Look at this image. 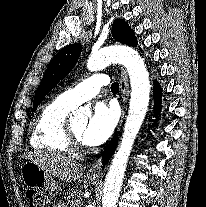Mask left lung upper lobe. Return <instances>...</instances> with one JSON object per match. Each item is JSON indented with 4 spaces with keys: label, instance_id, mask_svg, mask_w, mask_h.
Wrapping results in <instances>:
<instances>
[{
    "label": "left lung upper lobe",
    "instance_id": "5c2ea615",
    "mask_svg": "<svg viewBox=\"0 0 206 207\" xmlns=\"http://www.w3.org/2000/svg\"><path fill=\"white\" fill-rule=\"evenodd\" d=\"M112 35L117 41L137 46V39L130 26L122 19H116L112 25ZM82 46L80 44H72L61 49L48 65L43 79L36 91L34 98V110L40 104L44 96L63 79L76 64Z\"/></svg>",
    "mask_w": 206,
    "mask_h": 207
}]
</instances>
